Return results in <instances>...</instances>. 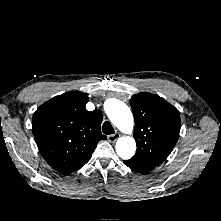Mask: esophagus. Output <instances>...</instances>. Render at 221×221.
<instances>
[{"mask_svg": "<svg viewBox=\"0 0 221 221\" xmlns=\"http://www.w3.org/2000/svg\"><path fill=\"white\" fill-rule=\"evenodd\" d=\"M120 137V134L119 133H115V134H112V135H108L107 139L110 143H114L116 142V140Z\"/></svg>", "mask_w": 221, "mask_h": 221, "instance_id": "esophagus-1", "label": "esophagus"}]
</instances>
